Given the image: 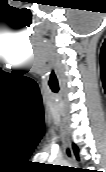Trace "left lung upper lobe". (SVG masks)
Returning a JSON list of instances; mask_svg holds the SVG:
<instances>
[{
    "mask_svg": "<svg viewBox=\"0 0 106 172\" xmlns=\"http://www.w3.org/2000/svg\"><path fill=\"white\" fill-rule=\"evenodd\" d=\"M73 149H74V153H75V155H76V157L78 159V152H79V150H78V148H77V146L75 144H73Z\"/></svg>",
    "mask_w": 106,
    "mask_h": 172,
    "instance_id": "obj_1",
    "label": "left lung upper lobe"
}]
</instances>
